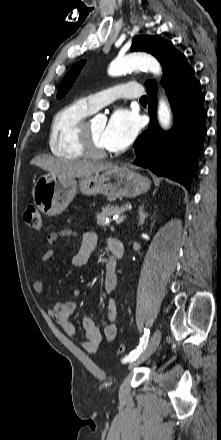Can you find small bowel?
<instances>
[{
	"mask_svg": "<svg viewBox=\"0 0 221 440\" xmlns=\"http://www.w3.org/2000/svg\"><path fill=\"white\" fill-rule=\"evenodd\" d=\"M78 237V232L73 228H63L58 231H53L47 236V241L50 244L56 243L60 238ZM98 242L97 235L88 231L83 234L80 241V246L77 253L72 258V264L76 267H83L87 264L92 252L94 251ZM111 240L108 241V245ZM56 258V251L52 248L46 250L41 256V263L46 264V273L50 274L53 270V262ZM113 261L109 258L107 262ZM106 262V263H107ZM118 278L116 271L110 272L106 270V274L103 281L104 293L109 297L107 303V322L103 332L96 326L93 317L85 316L82 319V327L84 330L85 338L80 341L81 346L89 351L95 352L103 341L111 342L117 335V304L112 294L116 290ZM33 288L37 293L44 291V282L42 280H36L33 283ZM81 291L75 289L73 291L74 296H79ZM77 304L74 300L69 301H57L48 308V314L54 319V321L60 326V328L70 337H75L76 328L71 321V316L75 312Z\"/></svg>",
	"mask_w": 221,
	"mask_h": 440,
	"instance_id": "small-bowel-1",
	"label": "small bowel"
}]
</instances>
